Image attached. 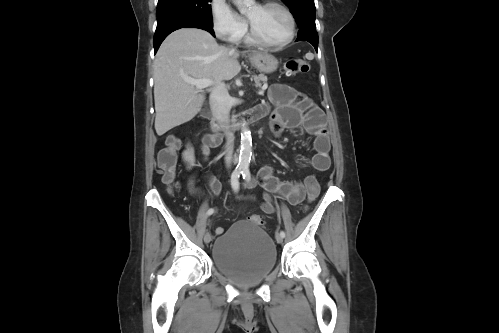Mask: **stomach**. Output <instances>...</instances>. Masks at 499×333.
Instances as JSON below:
<instances>
[{
    "mask_svg": "<svg viewBox=\"0 0 499 333\" xmlns=\"http://www.w3.org/2000/svg\"><path fill=\"white\" fill-rule=\"evenodd\" d=\"M251 64L262 73H272L278 68V60L267 52H258L249 56Z\"/></svg>",
    "mask_w": 499,
    "mask_h": 333,
    "instance_id": "obj_1",
    "label": "stomach"
}]
</instances>
